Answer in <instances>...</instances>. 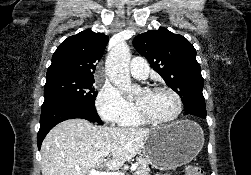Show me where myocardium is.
I'll return each instance as SVG.
<instances>
[{"label":"myocardium","mask_w":251,"mask_h":175,"mask_svg":"<svg viewBox=\"0 0 251 175\" xmlns=\"http://www.w3.org/2000/svg\"><path fill=\"white\" fill-rule=\"evenodd\" d=\"M151 90H155V91L165 90V91L172 93L177 104H178V114L172 120L162 121V120L156 119L155 117H153L149 114L141 112L137 108V113H138L139 117L141 119L147 121L148 123L156 125V126L167 127V126H172V125L179 123L184 118V113H185L184 102H183L181 94L175 88L168 86V85L155 86V87L151 88Z\"/></svg>","instance_id":"obj_1"}]
</instances>
